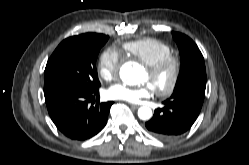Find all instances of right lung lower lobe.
Here are the masks:
<instances>
[{
    "instance_id": "98d812e1",
    "label": "right lung lower lobe",
    "mask_w": 249,
    "mask_h": 165,
    "mask_svg": "<svg viewBox=\"0 0 249 165\" xmlns=\"http://www.w3.org/2000/svg\"><path fill=\"white\" fill-rule=\"evenodd\" d=\"M44 96L49 115L56 127L73 140H86L99 133L106 125L113 102L88 106L99 97L93 90L56 83L44 84Z\"/></svg>"
}]
</instances>
